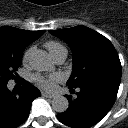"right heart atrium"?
Segmentation results:
<instances>
[{"mask_svg": "<svg viewBox=\"0 0 128 128\" xmlns=\"http://www.w3.org/2000/svg\"><path fill=\"white\" fill-rule=\"evenodd\" d=\"M34 51V47H29L23 54V62L26 63L29 61L32 52Z\"/></svg>", "mask_w": 128, "mask_h": 128, "instance_id": "right-heart-atrium-1", "label": "right heart atrium"}]
</instances>
